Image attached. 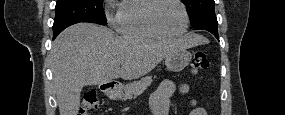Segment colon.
I'll list each match as a JSON object with an SVG mask.
<instances>
[{"mask_svg": "<svg viewBox=\"0 0 285 115\" xmlns=\"http://www.w3.org/2000/svg\"><path fill=\"white\" fill-rule=\"evenodd\" d=\"M208 66H209V61L205 53L197 52L194 54L192 62H191V68L193 72L205 70L208 68ZM98 106H99V103H98L96 94L93 91L87 92L84 95L80 114L85 115L91 110H96Z\"/></svg>", "mask_w": 285, "mask_h": 115, "instance_id": "obj_1", "label": "colon"}]
</instances>
